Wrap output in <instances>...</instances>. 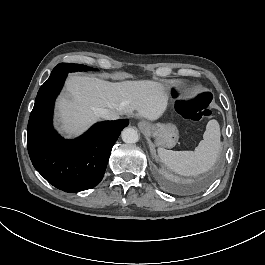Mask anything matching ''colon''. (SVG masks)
I'll list each match as a JSON object with an SVG mask.
<instances>
[{"instance_id":"obj_1","label":"colon","mask_w":265,"mask_h":265,"mask_svg":"<svg viewBox=\"0 0 265 265\" xmlns=\"http://www.w3.org/2000/svg\"><path fill=\"white\" fill-rule=\"evenodd\" d=\"M172 101L176 110L191 120L211 116L209 108L211 94L203 85H178L172 91Z\"/></svg>"}]
</instances>
